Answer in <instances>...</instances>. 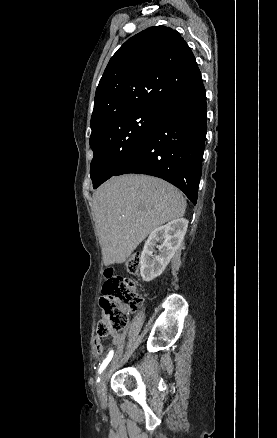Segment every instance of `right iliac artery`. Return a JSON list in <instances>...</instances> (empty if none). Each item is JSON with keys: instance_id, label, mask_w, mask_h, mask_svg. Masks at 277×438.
<instances>
[{"instance_id": "82829eb1", "label": "right iliac artery", "mask_w": 277, "mask_h": 438, "mask_svg": "<svg viewBox=\"0 0 277 438\" xmlns=\"http://www.w3.org/2000/svg\"><path fill=\"white\" fill-rule=\"evenodd\" d=\"M113 350H111L110 352H109V354L107 355V357L103 360V362H102V364H101V366H100V368H99V371H98V373L100 374L104 369H105V367L108 365V363L111 361V359H112V357H113ZM99 378L97 379V382H99Z\"/></svg>"}]
</instances>
